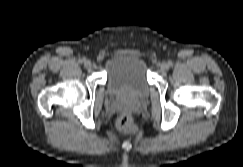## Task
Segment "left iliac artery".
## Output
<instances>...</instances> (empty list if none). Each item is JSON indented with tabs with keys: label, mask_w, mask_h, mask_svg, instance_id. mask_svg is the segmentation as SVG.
Segmentation results:
<instances>
[{
	"label": "left iliac artery",
	"mask_w": 243,
	"mask_h": 167,
	"mask_svg": "<svg viewBox=\"0 0 243 167\" xmlns=\"http://www.w3.org/2000/svg\"><path fill=\"white\" fill-rule=\"evenodd\" d=\"M168 64H169V66H172L173 65L172 61H169Z\"/></svg>",
	"instance_id": "44dca946"
}]
</instances>
